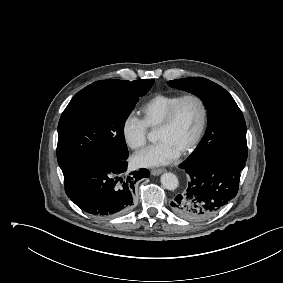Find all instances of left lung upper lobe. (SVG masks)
<instances>
[{"mask_svg": "<svg viewBox=\"0 0 283 283\" xmlns=\"http://www.w3.org/2000/svg\"><path fill=\"white\" fill-rule=\"evenodd\" d=\"M168 85L201 98L208 110L204 137L185 163L192 165L212 158L226 157L246 162V124L232 96L218 84L192 77L168 81Z\"/></svg>", "mask_w": 283, "mask_h": 283, "instance_id": "left-lung-upper-lobe-1", "label": "left lung upper lobe"}]
</instances>
